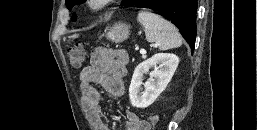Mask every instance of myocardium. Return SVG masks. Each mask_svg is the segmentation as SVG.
<instances>
[{"mask_svg": "<svg viewBox=\"0 0 257 130\" xmlns=\"http://www.w3.org/2000/svg\"><path fill=\"white\" fill-rule=\"evenodd\" d=\"M116 0H86V7L92 12H99L113 4Z\"/></svg>", "mask_w": 257, "mask_h": 130, "instance_id": "1", "label": "myocardium"}]
</instances>
